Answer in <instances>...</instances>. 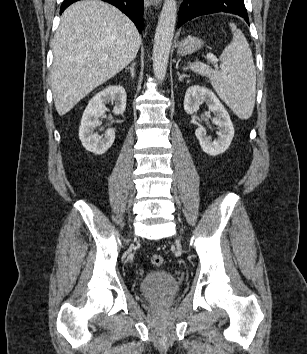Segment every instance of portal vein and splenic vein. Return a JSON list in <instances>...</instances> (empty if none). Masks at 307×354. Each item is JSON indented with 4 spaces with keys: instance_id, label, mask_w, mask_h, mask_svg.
I'll return each mask as SVG.
<instances>
[{
    "instance_id": "18ae733b",
    "label": "portal vein and splenic vein",
    "mask_w": 307,
    "mask_h": 354,
    "mask_svg": "<svg viewBox=\"0 0 307 354\" xmlns=\"http://www.w3.org/2000/svg\"><path fill=\"white\" fill-rule=\"evenodd\" d=\"M207 59H208L209 61H211V62H214V63H217V62H218V59H217L215 56H213V55H208V56H207Z\"/></svg>"
}]
</instances>
